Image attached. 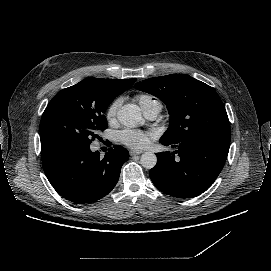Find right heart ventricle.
<instances>
[{"instance_id": "right-heart-ventricle-1", "label": "right heart ventricle", "mask_w": 271, "mask_h": 271, "mask_svg": "<svg viewBox=\"0 0 271 271\" xmlns=\"http://www.w3.org/2000/svg\"><path fill=\"white\" fill-rule=\"evenodd\" d=\"M135 100L139 102L141 107L144 109H152L157 107L160 111L161 103L156 100L151 94L148 93H138L134 96Z\"/></svg>"}]
</instances>
